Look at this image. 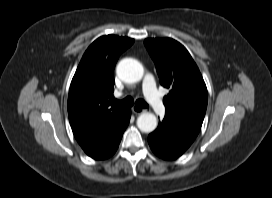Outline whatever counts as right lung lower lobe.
Segmentation results:
<instances>
[{
	"mask_svg": "<svg viewBox=\"0 0 272 198\" xmlns=\"http://www.w3.org/2000/svg\"><path fill=\"white\" fill-rule=\"evenodd\" d=\"M130 117L131 110L125 108L89 140L81 143L80 145L85 153L98 160L112 156L118 148Z\"/></svg>",
	"mask_w": 272,
	"mask_h": 198,
	"instance_id": "98d812e1",
	"label": "right lung lower lobe"
}]
</instances>
